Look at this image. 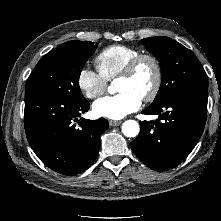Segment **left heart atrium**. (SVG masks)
Instances as JSON below:
<instances>
[{"label":"left heart atrium","instance_id":"1","mask_svg":"<svg viewBox=\"0 0 221 221\" xmlns=\"http://www.w3.org/2000/svg\"><path fill=\"white\" fill-rule=\"evenodd\" d=\"M142 104V98L132 91L120 92L113 96H105L93 104V112L98 117L122 119L137 111Z\"/></svg>","mask_w":221,"mask_h":221}]
</instances>
